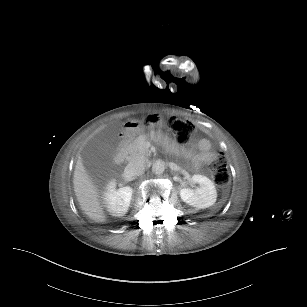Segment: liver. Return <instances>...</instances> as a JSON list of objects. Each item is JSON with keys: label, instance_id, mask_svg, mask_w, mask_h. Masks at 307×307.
Instances as JSON below:
<instances>
[{"label": "liver", "instance_id": "liver-1", "mask_svg": "<svg viewBox=\"0 0 307 307\" xmlns=\"http://www.w3.org/2000/svg\"><path fill=\"white\" fill-rule=\"evenodd\" d=\"M73 184L76 199L83 213L96 223H107V213L101 201L103 192L94 184L84 166L82 157L77 160Z\"/></svg>", "mask_w": 307, "mask_h": 307}]
</instances>
